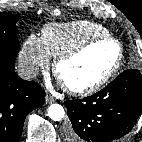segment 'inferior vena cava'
I'll list each match as a JSON object with an SVG mask.
<instances>
[{"label":"inferior vena cava","instance_id":"602c4592","mask_svg":"<svg viewBox=\"0 0 142 142\" xmlns=\"http://www.w3.org/2000/svg\"><path fill=\"white\" fill-rule=\"evenodd\" d=\"M17 73L20 78L24 80H31L38 75L39 68L31 64L20 63L18 65Z\"/></svg>","mask_w":142,"mask_h":142}]
</instances>
